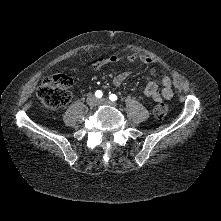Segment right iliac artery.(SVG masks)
<instances>
[{
	"mask_svg": "<svg viewBox=\"0 0 221 221\" xmlns=\"http://www.w3.org/2000/svg\"><path fill=\"white\" fill-rule=\"evenodd\" d=\"M95 96H96L97 98H101V97L103 96L102 91L97 90V91L95 92Z\"/></svg>",
	"mask_w": 221,
	"mask_h": 221,
	"instance_id": "82829eb1",
	"label": "right iliac artery"
}]
</instances>
